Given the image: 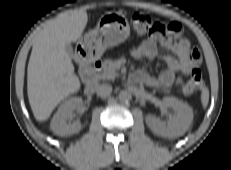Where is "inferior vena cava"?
Masks as SVG:
<instances>
[{
  "instance_id": "1",
  "label": "inferior vena cava",
  "mask_w": 231,
  "mask_h": 170,
  "mask_svg": "<svg viewBox=\"0 0 231 170\" xmlns=\"http://www.w3.org/2000/svg\"><path fill=\"white\" fill-rule=\"evenodd\" d=\"M112 92V86L108 84H102L97 88V95L100 97H107Z\"/></svg>"
}]
</instances>
